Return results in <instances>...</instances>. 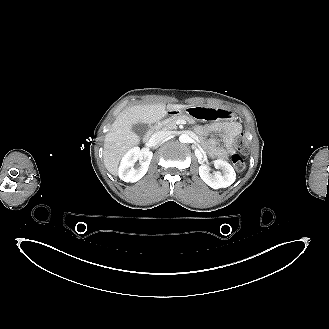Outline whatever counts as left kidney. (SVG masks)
<instances>
[{"label": "left kidney", "mask_w": 329, "mask_h": 329, "mask_svg": "<svg viewBox=\"0 0 329 329\" xmlns=\"http://www.w3.org/2000/svg\"><path fill=\"white\" fill-rule=\"evenodd\" d=\"M214 167L222 172L216 171L211 174L208 166L201 165L199 167V175L208 186L213 189L226 188L235 182L236 173L228 162L215 160Z\"/></svg>", "instance_id": "1"}]
</instances>
